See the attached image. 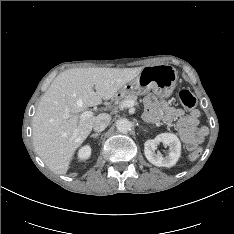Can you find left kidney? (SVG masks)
<instances>
[{
  "label": "left kidney",
  "instance_id": "obj_1",
  "mask_svg": "<svg viewBox=\"0 0 234 234\" xmlns=\"http://www.w3.org/2000/svg\"><path fill=\"white\" fill-rule=\"evenodd\" d=\"M159 143L169 146L167 156L156 154L155 150ZM144 153L147 160L158 167H172L178 161L181 154V143L178 137L172 133H161L154 139H149L144 143Z\"/></svg>",
  "mask_w": 234,
  "mask_h": 234
}]
</instances>
